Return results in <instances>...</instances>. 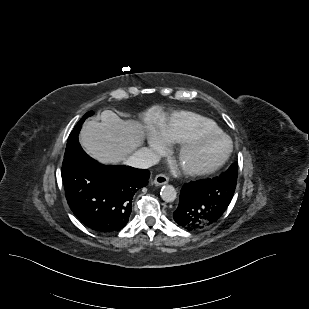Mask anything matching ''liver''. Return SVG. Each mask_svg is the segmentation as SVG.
Returning <instances> with one entry per match:
<instances>
[{
    "label": "liver",
    "instance_id": "6515ba94",
    "mask_svg": "<svg viewBox=\"0 0 309 309\" xmlns=\"http://www.w3.org/2000/svg\"><path fill=\"white\" fill-rule=\"evenodd\" d=\"M144 136L141 123L124 121L114 112L105 110L100 115V122L91 120L84 125L80 142L99 162L116 164L141 146Z\"/></svg>",
    "mask_w": 309,
    "mask_h": 309
}]
</instances>
